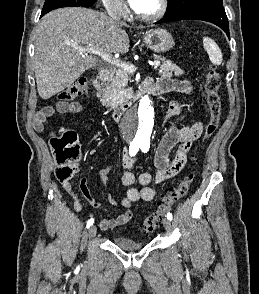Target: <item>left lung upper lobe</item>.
<instances>
[{
  "label": "left lung upper lobe",
  "instance_id": "5c2ea615",
  "mask_svg": "<svg viewBox=\"0 0 259 294\" xmlns=\"http://www.w3.org/2000/svg\"><path fill=\"white\" fill-rule=\"evenodd\" d=\"M202 5L223 6L222 0H169V10L166 16L185 12Z\"/></svg>",
  "mask_w": 259,
  "mask_h": 294
}]
</instances>
